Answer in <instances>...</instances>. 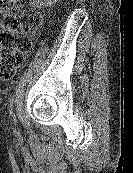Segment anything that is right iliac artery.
<instances>
[{
  "label": "right iliac artery",
  "instance_id": "82829eb1",
  "mask_svg": "<svg viewBox=\"0 0 133 173\" xmlns=\"http://www.w3.org/2000/svg\"><path fill=\"white\" fill-rule=\"evenodd\" d=\"M12 106H13V97L10 100V115H13Z\"/></svg>",
  "mask_w": 133,
  "mask_h": 173
}]
</instances>
